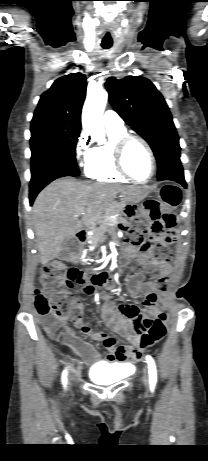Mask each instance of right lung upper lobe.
<instances>
[{"instance_id":"1","label":"right lung upper lobe","mask_w":208,"mask_h":461,"mask_svg":"<svg viewBox=\"0 0 208 461\" xmlns=\"http://www.w3.org/2000/svg\"><path fill=\"white\" fill-rule=\"evenodd\" d=\"M87 83L81 73H73L57 79L49 90L41 95L33 119H53L68 126L81 128V109Z\"/></svg>"}]
</instances>
